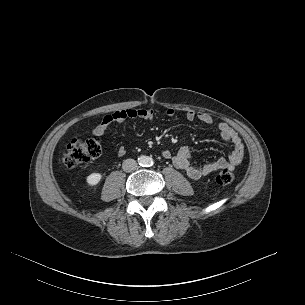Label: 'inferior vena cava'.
Returning <instances> with one entry per match:
<instances>
[{
    "mask_svg": "<svg viewBox=\"0 0 305 305\" xmlns=\"http://www.w3.org/2000/svg\"><path fill=\"white\" fill-rule=\"evenodd\" d=\"M125 172H132L137 168V162L134 159H126L122 164Z\"/></svg>",
    "mask_w": 305,
    "mask_h": 305,
    "instance_id": "inferior-vena-cava-1",
    "label": "inferior vena cava"
}]
</instances>
